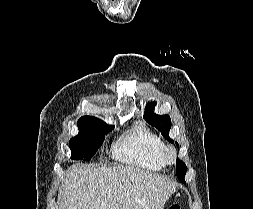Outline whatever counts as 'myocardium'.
Instances as JSON below:
<instances>
[{
    "label": "myocardium",
    "mask_w": 253,
    "mask_h": 209,
    "mask_svg": "<svg viewBox=\"0 0 253 209\" xmlns=\"http://www.w3.org/2000/svg\"><path fill=\"white\" fill-rule=\"evenodd\" d=\"M162 154L166 164L175 163L177 154L175 148L172 145L164 144Z\"/></svg>",
    "instance_id": "obj_1"
}]
</instances>
